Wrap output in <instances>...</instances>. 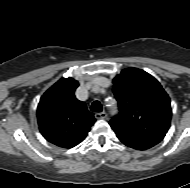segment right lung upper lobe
<instances>
[{
    "instance_id": "cb5924a9",
    "label": "right lung upper lobe",
    "mask_w": 190,
    "mask_h": 188,
    "mask_svg": "<svg viewBox=\"0 0 190 188\" xmlns=\"http://www.w3.org/2000/svg\"><path fill=\"white\" fill-rule=\"evenodd\" d=\"M78 81L62 78L41 97L37 108L39 129L44 138L62 148H72L87 136L94 115L76 99Z\"/></svg>"
}]
</instances>
